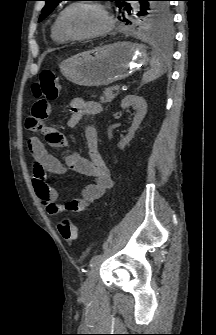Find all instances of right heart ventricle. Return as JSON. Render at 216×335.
<instances>
[{"instance_id": "obj_1", "label": "right heart ventricle", "mask_w": 216, "mask_h": 335, "mask_svg": "<svg viewBox=\"0 0 216 335\" xmlns=\"http://www.w3.org/2000/svg\"><path fill=\"white\" fill-rule=\"evenodd\" d=\"M56 21L57 19L54 21L52 28H51V37L57 43H65L67 39H65L58 31Z\"/></svg>"}]
</instances>
